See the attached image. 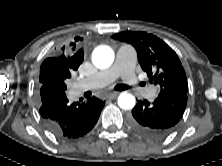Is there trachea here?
I'll return each mask as SVG.
<instances>
[{"label":"trachea","instance_id":"obj_1","mask_svg":"<svg viewBox=\"0 0 222 166\" xmlns=\"http://www.w3.org/2000/svg\"><path fill=\"white\" fill-rule=\"evenodd\" d=\"M129 88L130 87L127 86V85L119 84V85H116L114 89L117 90V91H123V90L129 89Z\"/></svg>","mask_w":222,"mask_h":166}]
</instances>
